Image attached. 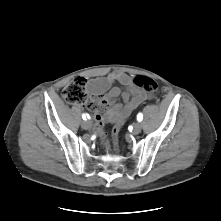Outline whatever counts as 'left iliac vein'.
<instances>
[{"mask_svg":"<svg viewBox=\"0 0 221 221\" xmlns=\"http://www.w3.org/2000/svg\"><path fill=\"white\" fill-rule=\"evenodd\" d=\"M141 130H142V125L140 122H137L136 124H134L132 133L134 135H138L141 132Z\"/></svg>","mask_w":221,"mask_h":221,"instance_id":"1","label":"left iliac vein"}]
</instances>
